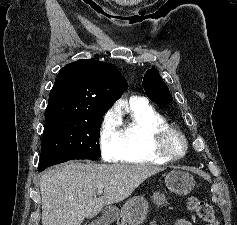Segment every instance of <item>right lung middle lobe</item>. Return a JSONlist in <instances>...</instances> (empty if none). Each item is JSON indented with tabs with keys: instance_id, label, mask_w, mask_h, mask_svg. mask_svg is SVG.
<instances>
[{
	"instance_id": "dd1d6c3e",
	"label": "right lung middle lobe",
	"mask_w": 237,
	"mask_h": 225,
	"mask_svg": "<svg viewBox=\"0 0 237 225\" xmlns=\"http://www.w3.org/2000/svg\"><path fill=\"white\" fill-rule=\"evenodd\" d=\"M104 114L91 118L53 117L45 120L41 153H67L99 159V130Z\"/></svg>"
}]
</instances>
